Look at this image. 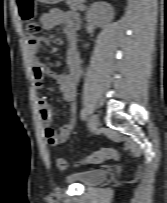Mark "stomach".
Masks as SVG:
<instances>
[{"label":"stomach","mask_w":167,"mask_h":203,"mask_svg":"<svg viewBox=\"0 0 167 203\" xmlns=\"http://www.w3.org/2000/svg\"><path fill=\"white\" fill-rule=\"evenodd\" d=\"M38 1L45 4H57L59 2H62L63 0H38Z\"/></svg>","instance_id":"0dacf381"}]
</instances>
